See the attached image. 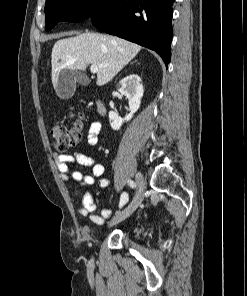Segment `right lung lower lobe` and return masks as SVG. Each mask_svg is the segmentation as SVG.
I'll list each match as a JSON object with an SVG mask.
<instances>
[{"label": "right lung lower lobe", "instance_id": "1", "mask_svg": "<svg viewBox=\"0 0 247 296\" xmlns=\"http://www.w3.org/2000/svg\"><path fill=\"white\" fill-rule=\"evenodd\" d=\"M174 0H111L91 20L99 30L156 51L170 62Z\"/></svg>", "mask_w": 247, "mask_h": 296}]
</instances>
